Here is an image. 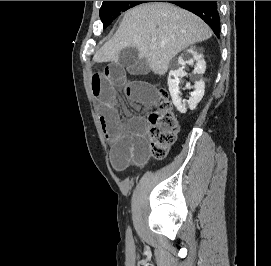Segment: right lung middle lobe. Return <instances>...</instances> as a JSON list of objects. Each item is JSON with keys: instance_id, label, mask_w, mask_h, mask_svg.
<instances>
[{"instance_id": "1", "label": "right lung middle lobe", "mask_w": 271, "mask_h": 266, "mask_svg": "<svg viewBox=\"0 0 271 266\" xmlns=\"http://www.w3.org/2000/svg\"><path fill=\"white\" fill-rule=\"evenodd\" d=\"M150 1H103L100 8V18L103 22V28H106L116 19L122 12Z\"/></svg>"}]
</instances>
